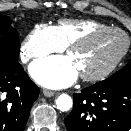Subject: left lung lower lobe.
I'll return each mask as SVG.
<instances>
[{"mask_svg": "<svg viewBox=\"0 0 131 131\" xmlns=\"http://www.w3.org/2000/svg\"><path fill=\"white\" fill-rule=\"evenodd\" d=\"M67 131H127L131 128V86L96 83L73 94Z\"/></svg>", "mask_w": 131, "mask_h": 131, "instance_id": "obj_1", "label": "left lung lower lobe"}]
</instances>
